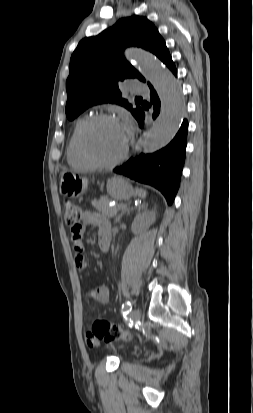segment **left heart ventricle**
<instances>
[{"label": "left heart ventricle", "instance_id": "left-heart-ventricle-1", "mask_svg": "<svg viewBox=\"0 0 253 413\" xmlns=\"http://www.w3.org/2000/svg\"><path fill=\"white\" fill-rule=\"evenodd\" d=\"M86 144L89 152L96 159L112 161L124 150L126 136L119 123L101 121L88 131Z\"/></svg>", "mask_w": 253, "mask_h": 413}]
</instances>
